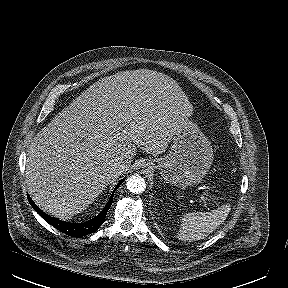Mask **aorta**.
<instances>
[{
  "instance_id": "obj_1",
  "label": "aorta",
  "mask_w": 288,
  "mask_h": 288,
  "mask_svg": "<svg viewBox=\"0 0 288 288\" xmlns=\"http://www.w3.org/2000/svg\"><path fill=\"white\" fill-rule=\"evenodd\" d=\"M127 189L134 194H140L146 189L145 180L139 175H132L126 180Z\"/></svg>"
}]
</instances>
